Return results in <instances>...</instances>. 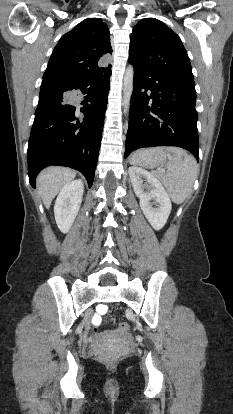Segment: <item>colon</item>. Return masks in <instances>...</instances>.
<instances>
[{
    "mask_svg": "<svg viewBox=\"0 0 233 414\" xmlns=\"http://www.w3.org/2000/svg\"><path fill=\"white\" fill-rule=\"evenodd\" d=\"M119 330L122 332H128L130 330V324L127 322H121L119 324ZM94 331H97V327L94 328ZM101 360L108 364L112 362V360L106 356L102 357Z\"/></svg>",
    "mask_w": 233,
    "mask_h": 414,
    "instance_id": "colon-1",
    "label": "colon"
}]
</instances>
